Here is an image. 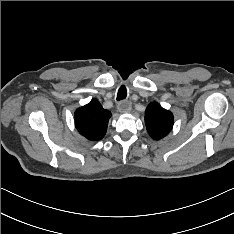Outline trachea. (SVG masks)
I'll use <instances>...</instances> for the list:
<instances>
[{
  "label": "trachea",
  "instance_id": "3493384b",
  "mask_svg": "<svg viewBox=\"0 0 234 234\" xmlns=\"http://www.w3.org/2000/svg\"><path fill=\"white\" fill-rule=\"evenodd\" d=\"M127 96V90L126 87L124 85H122L117 93V101L123 100L125 99Z\"/></svg>",
  "mask_w": 234,
  "mask_h": 234
}]
</instances>
